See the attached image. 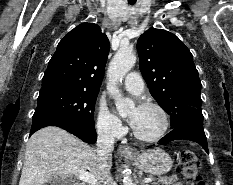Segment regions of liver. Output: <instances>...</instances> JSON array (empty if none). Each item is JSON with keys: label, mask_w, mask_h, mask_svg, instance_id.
Here are the masks:
<instances>
[{"label": "liver", "mask_w": 233, "mask_h": 185, "mask_svg": "<svg viewBox=\"0 0 233 185\" xmlns=\"http://www.w3.org/2000/svg\"><path fill=\"white\" fill-rule=\"evenodd\" d=\"M111 166V154L100 160L95 149L65 130L49 126L30 137L19 185H46L54 178L78 175L81 169L101 180Z\"/></svg>", "instance_id": "1"}]
</instances>
